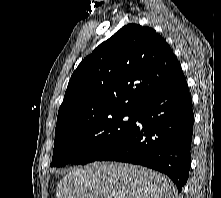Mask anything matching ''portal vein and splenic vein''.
I'll return each mask as SVG.
<instances>
[{
  "label": "portal vein and splenic vein",
  "instance_id": "18ae733b",
  "mask_svg": "<svg viewBox=\"0 0 221 198\" xmlns=\"http://www.w3.org/2000/svg\"><path fill=\"white\" fill-rule=\"evenodd\" d=\"M105 198H111V196H110V195H107V196H105Z\"/></svg>",
  "mask_w": 221,
  "mask_h": 198
}]
</instances>
